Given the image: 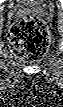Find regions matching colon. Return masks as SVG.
Returning a JSON list of instances; mask_svg holds the SVG:
<instances>
[{
    "mask_svg": "<svg viewBox=\"0 0 63 107\" xmlns=\"http://www.w3.org/2000/svg\"><path fill=\"white\" fill-rule=\"evenodd\" d=\"M12 51L20 58L38 59L48 48L50 33L40 20L26 17L15 23L9 32Z\"/></svg>",
    "mask_w": 63,
    "mask_h": 107,
    "instance_id": "colon-1",
    "label": "colon"
}]
</instances>
